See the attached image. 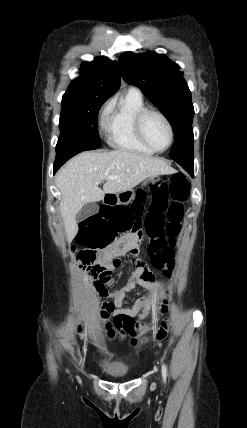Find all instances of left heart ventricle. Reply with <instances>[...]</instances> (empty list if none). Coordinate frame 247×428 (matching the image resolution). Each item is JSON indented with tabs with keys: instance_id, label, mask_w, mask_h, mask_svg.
<instances>
[{
	"instance_id": "1",
	"label": "left heart ventricle",
	"mask_w": 247,
	"mask_h": 428,
	"mask_svg": "<svg viewBox=\"0 0 247 428\" xmlns=\"http://www.w3.org/2000/svg\"><path fill=\"white\" fill-rule=\"evenodd\" d=\"M144 130L149 142L158 149H163L169 142V130L165 122L157 115L150 114L144 122Z\"/></svg>"
}]
</instances>
